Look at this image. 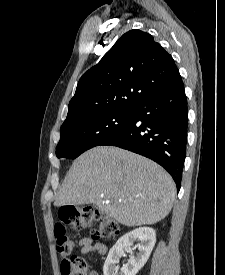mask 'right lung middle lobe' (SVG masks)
I'll return each mask as SVG.
<instances>
[{
	"instance_id": "right-lung-middle-lobe-1",
	"label": "right lung middle lobe",
	"mask_w": 225,
	"mask_h": 275,
	"mask_svg": "<svg viewBox=\"0 0 225 275\" xmlns=\"http://www.w3.org/2000/svg\"><path fill=\"white\" fill-rule=\"evenodd\" d=\"M130 116L131 110L108 111L83 117L62 126L61 138L56 147L57 157L75 159L120 130Z\"/></svg>"
}]
</instances>
